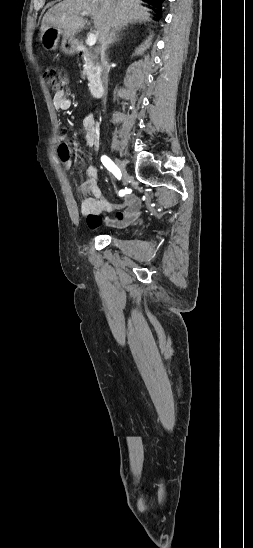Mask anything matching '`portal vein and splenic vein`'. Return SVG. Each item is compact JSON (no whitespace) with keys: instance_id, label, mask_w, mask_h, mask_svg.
<instances>
[{"instance_id":"portal-vein-and-splenic-vein-1","label":"portal vein and splenic vein","mask_w":253,"mask_h":548,"mask_svg":"<svg viewBox=\"0 0 253 548\" xmlns=\"http://www.w3.org/2000/svg\"><path fill=\"white\" fill-rule=\"evenodd\" d=\"M81 15L82 16H87L89 15V13L87 11H83L81 12ZM97 41V34H90L88 37H87V40H86V44L89 46V47H92L95 45Z\"/></svg>"}]
</instances>
